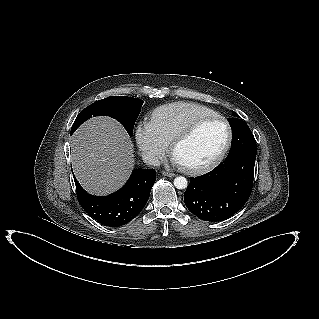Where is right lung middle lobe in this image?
I'll return each mask as SVG.
<instances>
[{
    "label": "right lung middle lobe",
    "instance_id": "right-lung-middle-lobe-1",
    "mask_svg": "<svg viewBox=\"0 0 319 319\" xmlns=\"http://www.w3.org/2000/svg\"><path fill=\"white\" fill-rule=\"evenodd\" d=\"M143 102L141 99L126 96H112L94 102L83 109L76 117L71 128V134L92 116L107 115L118 120L128 134L132 136L133 127L141 112Z\"/></svg>",
    "mask_w": 319,
    "mask_h": 319
}]
</instances>
